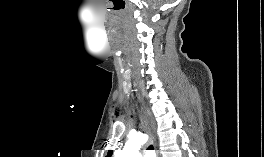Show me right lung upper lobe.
<instances>
[{
	"label": "right lung upper lobe",
	"instance_id": "obj_1",
	"mask_svg": "<svg viewBox=\"0 0 264 157\" xmlns=\"http://www.w3.org/2000/svg\"><path fill=\"white\" fill-rule=\"evenodd\" d=\"M111 154H112V151H111V150H109V151H108V155H107L106 157H110V156H111Z\"/></svg>",
	"mask_w": 264,
	"mask_h": 157
}]
</instances>
